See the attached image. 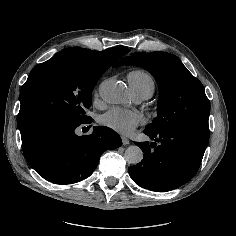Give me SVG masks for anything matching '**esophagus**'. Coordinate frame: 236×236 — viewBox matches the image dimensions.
Masks as SVG:
<instances>
[{
	"mask_svg": "<svg viewBox=\"0 0 236 236\" xmlns=\"http://www.w3.org/2000/svg\"><path fill=\"white\" fill-rule=\"evenodd\" d=\"M121 139H122L123 145H128L130 143L129 139L126 138L125 136H121Z\"/></svg>",
	"mask_w": 236,
	"mask_h": 236,
	"instance_id": "obj_1",
	"label": "esophagus"
}]
</instances>
